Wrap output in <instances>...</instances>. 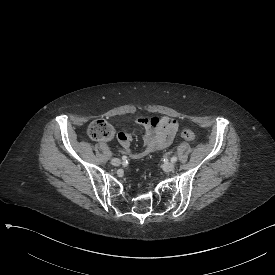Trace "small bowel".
I'll use <instances>...</instances> for the list:
<instances>
[{"label":"small bowel","instance_id":"obj_1","mask_svg":"<svg viewBox=\"0 0 275 275\" xmlns=\"http://www.w3.org/2000/svg\"><path fill=\"white\" fill-rule=\"evenodd\" d=\"M136 121L144 127V145L140 151H133L130 148V140L133 139L132 133L123 134L121 131L116 133V138L121 143L126 142L121 146L132 159H141L152 152L168 147L178 130V123L173 118L159 119L138 116Z\"/></svg>","mask_w":275,"mask_h":275}]
</instances>
